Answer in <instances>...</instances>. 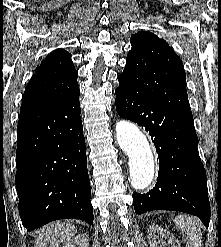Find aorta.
I'll list each match as a JSON object with an SVG mask.
<instances>
[{
    "label": "aorta",
    "mask_w": 221,
    "mask_h": 247,
    "mask_svg": "<svg viewBox=\"0 0 221 247\" xmlns=\"http://www.w3.org/2000/svg\"><path fill=\"white\" fill-rule=\"evenodd\" d=\"M116 138L129 157L132 187L136 190L147 188L154 177V159L146 135L135 124L121 120L116 124Z\"/></svg>",
    "instance_id": "762f6f07"
}]
</instances>
